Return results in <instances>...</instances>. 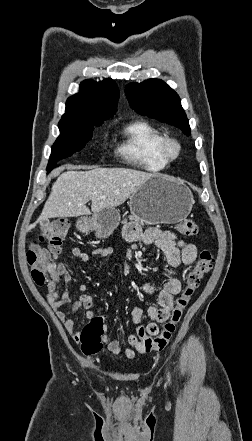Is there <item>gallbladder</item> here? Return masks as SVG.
Instances as JSON below:
<instances>
[{"mask_svg": "<svg viewBox=\"0 0 252 441\" xmlns=\"http://www.w3.org/2000/svg\"><path fill=\"white\" fill-rule=\"evenodd\" d=\"M48 224H49L48 221H43V222H41V226H42V227H47Z\"/></svg>", "mask_w": 252, "mask_h": 441, "instance_id": "gallbladder-1", "label": "gallbladder"}]
</instances>
